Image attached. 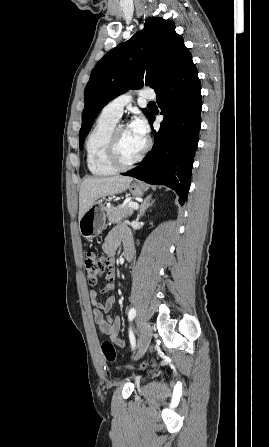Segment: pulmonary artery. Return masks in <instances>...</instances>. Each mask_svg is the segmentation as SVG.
Returning a JSON list of instances; mask_svg holds the SVG:
<instances>
[{
    "instance_id": "obj_1",
    "label": "pulmonary artery",
    "mask_w": 269,
    "mask_h": 447,
    "mask_svg": "<svg viewBox=\"0 0 269 447\" xmlns=\"http://www.w3.org/2000/svg\"><path fill=\"white\" fill-rule=\"evenodd\" d=\"M138 95L146 99H153L156 93L153 90H146L145 92L139 91ZM132 98V93H125L115 97L104 107L103 113L118 120L123 113L124 107L132 102Z\"/></svg>"
}]
</instances>
